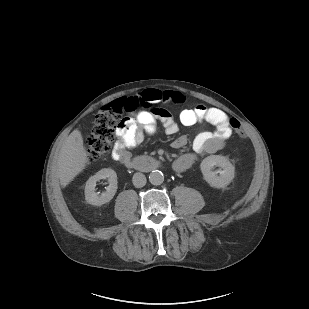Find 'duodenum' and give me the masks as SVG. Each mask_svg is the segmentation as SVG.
I'll list each match as a JSON object with an SVG mask.
<instances>
[{"label":"duodenum","instance_id":"obj_1","mask_svg":"<svg viewBox=\"0 0 309 309\" xmlns=\"http://www.w3.org/2000/svg\"><path fill=\"white\" fill-rule=\"evenodd\" d=\"M129 166L143 171H152L161 168V163L155 158H141L128 162Z\"/></svg>","mask_w":309,"mask_h":309}]
</instances>
